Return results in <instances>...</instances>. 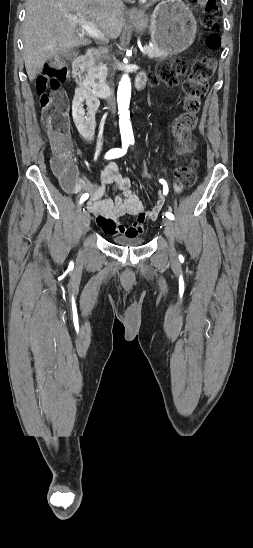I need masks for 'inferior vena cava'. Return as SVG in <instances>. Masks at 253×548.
I'll use <instances>...</instances> for the list:
<instances>
[{
    "mask_svg": "<svg viewBox=\"0 0 253 548\" xmlns=\"http://www.w3.org/2000/svg\"><path fill=\"white\" fill-rule=\"evenodd\" d=\"M119 2H121V1L119 0ZM105 41H108V39H106ZM107 103H108V105L110 106L112 112H114V110H115V104H114L113 99H112V98H109V99L107 100ZM110 117L112 118L111 120L113 121L111 124L114 126V125L116 124V123L114 122V121L116 120V119L114 118L115 116L112 114Z\"/></svg>",
    "mask_w": 253,
    "mask_h": 548,
    "instance_id": "602c4592",
    "label": "inferior vena cava"
}]
</instances>
